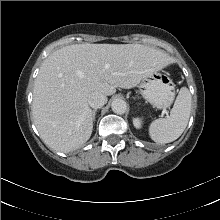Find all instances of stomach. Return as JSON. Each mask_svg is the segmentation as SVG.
Segmentation results:
<instances>
[{
	"instance_id": "0dacf381",
	"label": "stomach",
	"mask_w": 220,
	"mask_h": 220,
	"mask_svg": "<svg viewBox=\"0 0 220 220\" xmlns=\"http://www.w3.org/2000/svg\"><path fill=\"white\" fill-rule=\"evenodd\" d=\"M139 87L142 96L158 109L170 107L174 100V83L166 74L154 72Z\"/></svg>"
}]
</instances>
